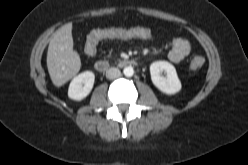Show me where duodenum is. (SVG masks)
Returning a JSON list of instances; mask_svg holds the SVG:
<instances>
[{
    "label": "duodenum",
    "instance_id": "1",
    "mask_svg": "<svg viewBox=\"0 0 248 165\" xmlns=\"http://www.w3.org/2000/svg\"><path fill=\"white\" fill-rule=\"evenodd\" d=\"M119 64L121 66H136L137 62L133 59H126L122 60ZM109 66L110 64L106 60H98L95 62V69L100 73H104L109 68Z\"/></svg>",
    "mask_w": 248,
    "mask_h": 165
}]
</instances>
